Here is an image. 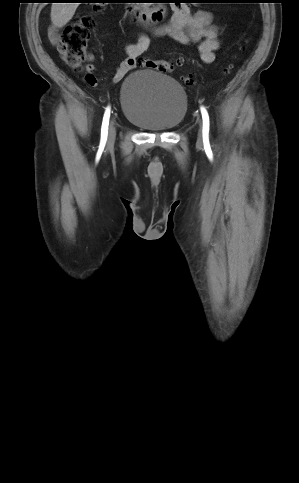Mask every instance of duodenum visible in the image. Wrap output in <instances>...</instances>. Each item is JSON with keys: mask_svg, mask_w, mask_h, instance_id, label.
I'll return each instance as SVG.
<instances>
[{"mask_svg": "<svg viewBox=\"0 0 299 483\" xmlns=\"http://www.w3.org/2000/svg\"><path fill=\"white\" fill-rule=\"evenodd\" d=\"M168 12V8L165 4H159L149 8H139L131 6L129 13L132 19L142 26H151L157 21L163 19Z\"/></svg>", "mask_w": 299, "mask_h": 483, "instance_id": "1", "label": "duodenum"}]
</instances>
